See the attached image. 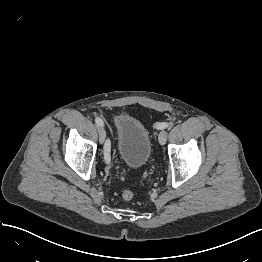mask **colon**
Masks as SVG:
<instances>
[{
    "label": "colon",
    "mask_w": 262,
    "mask_h": 262,
    "mask_svg": "<svg viewBox=\"0 0 262 262\" xmlns=\"http://www.w3.org/2000/svg\"><path fill=\"white\" fill-rule=\"evenodd\" d=\"M134 197V194L131 190H124L122 192V198L125 200V201H130L132 200Z\"/></svg>",
    "instance_id": "colon-1"
}]
</instances>
